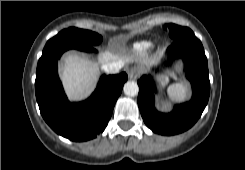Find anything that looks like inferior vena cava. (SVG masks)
Here are the masks:
<instances>
[{"label":"inferior vena cava","mask_w":245,"mask_h":170,"mask_svg":"<svg viewBox=\"0 0 245 170\" xmlns=\"http://www.w3.org/2000/svg\"><path fill=\"white\" fill-rule=\"evenodd\" d=\"M121 64L117 62L109 63L107 65H103V70L108 74H116L121 69Z\"/></svg>","instance_id":"obj_1"}]
</instances>
